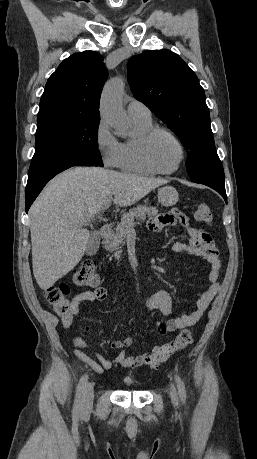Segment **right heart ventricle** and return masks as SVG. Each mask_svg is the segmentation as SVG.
I'll use <instances>...</instances> for the list:
<instances>
[{
    "mask_svg": "<svg viewBox=\"0 0 257 459\" xmlns=\"http://www.w3.org/2000/svg\"><path fill=\"white\" fill-rule=\"evenodd\" d=\"M131 119L136 129V134L120 144V155L116 166L127 173L151 175L154 172L144 162L140 144L143 134L154 126L153 121L151 118L141 117H131Z\"/></svg>",
    "mask_w": 257,
    "mask_h": 459,
    "instance_id": "e07e8e85",
    "label": "right heart ventricle"
}]
</instances>
